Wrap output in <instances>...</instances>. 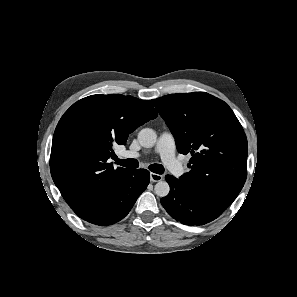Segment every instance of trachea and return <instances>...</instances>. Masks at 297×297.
<instances>
[{
    "label": "trachea",
    "instance_id": "trachea-1",
    "mask_svg": "<svg viewBox=\"0 0 297 297\" xmlns=\"http://www.w3.org/2000/svg\"><path fill=\"white\" fill-rule=\"evenodd\" d=\"M117 164L123 166V167H128V168H137L139 166V162L136 159H116ZM149 170L157 173V174H162L164 173V167L161 164H151L149 166Z\"/></svg>",
    "mask_w": 297,
    "mask_h": 297
}]
</instances>
